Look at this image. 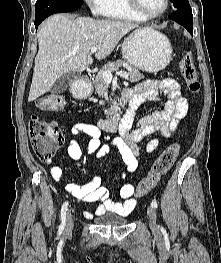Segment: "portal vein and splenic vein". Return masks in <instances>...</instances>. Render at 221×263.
<instances>
[{"instance_id":"1","label":"portal vein and splenic vein","mask_w":221,"mask_h":263,"mask_svg":"<svg viewBox=\"0 0 221 263\" xmlns=\"http://www.w3.org/2000/svg\"><path fill=\"white\" fill-rule=\"evenodd\" d=\"M96 51H97V47H96V46H94V47H92V48L90 49V52H91L92 54L95 53ZM116 76H120V77H122V78H124V79H126V80L129 79L128 75H127L126 73H124V72H117V73H116ZM103 78H104V80H105L106 82H111L112 79H113V75H112L111 71H105V72L103 73Z\"/></svg>"}]
</instances>
